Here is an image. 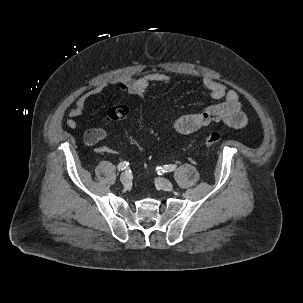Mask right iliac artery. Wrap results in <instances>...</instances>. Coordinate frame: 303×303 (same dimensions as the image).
Returning <instances> with one entry per match:
<instances>
[{
  "label": "right iliac artery",
  "mask_w": 303,
  "mask_h": 303,
  "mask_svg": "<svg viewBox=\"0 0 303 303\" xmlns=\"http://www.w3.org/2000/svg\"><path fill=\"white\" fill-rule=\"evenodd\" d=\"M128 165H129V162L123 161V162L119 163V165H118L117 168H118L119 171H122V170H124Z\"/></svg>",
  "instance_id": "1"
}]
</instances>
